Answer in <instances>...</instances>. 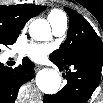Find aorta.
Here are the masks:
<instances>
[{
    "mask_svg": "<svg viewBox=\"0 0 103 103\" xmlns=\"http://www.w3.org/2000/svg\"><path fill=\"white\" fill-rule=\"evenodd\" d=\"M50 25L44 19H36L29 26L30 36L39 41L48 39ZM61 84V77L56 70L42 69L36 75V85L45 94H55Z\"/></svg>",
    "mask_w": 103,
    "mask_h": 103,
    "instance_id": "762f6f07",
    "label": "aorta"
}]
</instances>
